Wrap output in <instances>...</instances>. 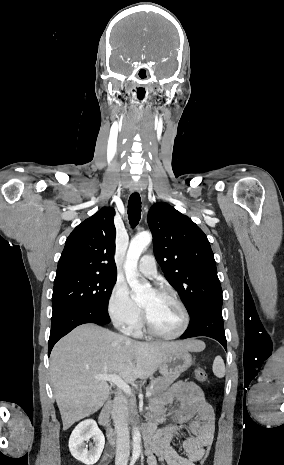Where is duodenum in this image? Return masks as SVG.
I'll list each match as a JSON object with an SVG mask.
<instances>
[{
  "label": "duodenum",
  "instance_id": "410a0bca",
  "mask_svg": "<svg viewBox=\"0 0 284 465\" xmlns=\"http://www.w3.org/2000/svg\"><path fill=\"white\" fill-rule=\"evenodd\" d=\"M114 406V401L113 400H109L107 402V405L104 406L102 408V410L100 411V414H99V417H98V421H99V424L101 425L102 428H104L107 433H108V436H109V439L111 441V443L113 445H117L118 444V441H119V438L115 432V430L110 426V423H109V416L111 414V411H112V407ZM137 433L139 434V436L145 441H149L150 437H151V434L150 432L145 428V427H142V428H139L137 430Z\"/></svg>",
  "mask_w": 284,
  "mask_h": 465
}]
</instances>
